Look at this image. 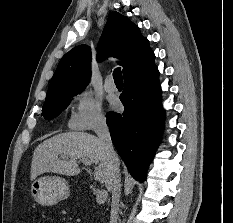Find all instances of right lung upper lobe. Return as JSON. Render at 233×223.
<instances>
[{
  "mask_svg": "<svg viewBox=\"0 0 233 223\" xmlns=\"http://www.w3.org/2000/svg\"><path fill=\"white\" fill-rule=\"evenodd\" d=\"M97 60L108 56L121 59L124 79L154 63L155 55L139 27L127 17L113 12L98 45ZM91 50L85 45L66 53L54 73L44 105L56 103L74 93L82 92L90 76Z\"/></svg>",
  "mask_w": 233,
  "mask_h": 223,
  "instance_id": "1",
  "label": "right lung upper lobe"
}]
</instances>
